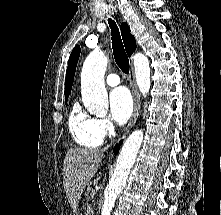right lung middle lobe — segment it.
Listing matches in <instances>:
<instances>
[{"mask_svg":"<svg viewBox=\"0 0 221 215\" xmlns=\"http://www.w3.org/2000/svg\"><path fill=\"white\" fill-rule=\"evenodd\" d=\"M67 102V98H65V103Z\"/></svg>","mask_w":221,"mask_h":215,"instance_id":"1","label":"right lung middle lobe"}]
</instances>
